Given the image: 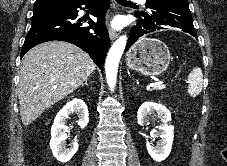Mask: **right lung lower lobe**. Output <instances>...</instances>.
<instances>
[{
  "mask_svg": "<svg viewBox=\"0 0 227 166\" xmlns=\"http://www.w3.org/2000/svg\"><path fill=\"white\" fill-rule=\"evenodd\" d=\"M109 0H83L72 4L69 11L52 13L40 18L32 19L31 28L25 38L21 57L32 47L52 40L66 41L80 47L87 52L96 65L103 69L104 58L110 45L108 32L104 20L106 5ZM81 5L91 6L93 20L78 19V10ZM87 21L89 26H82ZM93 29L95 32L90 33Z\"/></svg>",
  "mask_w": 227,
  "mask_h": 166,
  "instance_id": "98d812e1",
  "label": "right lung lower lobe"
}]
</instances>
